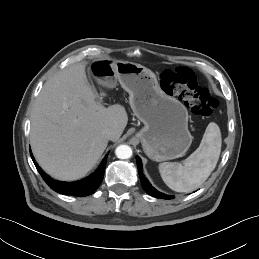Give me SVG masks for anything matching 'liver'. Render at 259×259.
I'll return each mask as SVG.
<instances>
[{
    "label": "liver",
    "mask_w": 259,
    "mask_h": 259,
    "mask_svg": "<svg viewBox=\"0 0 259 259\" xmlns=\"http://www.w3.org/2000/svg\"><path fill=\"white\" fill-rule=\"evenodd\" d=\"M85 68L76 64L51 77L31 113L33 154L46 173L63 181L85 176L108 145L103 131L114 130L116 141L128 122L123 106L96 102Z\"/></svg>",
    "instance_id": "obj_1"
}]
</instances>
